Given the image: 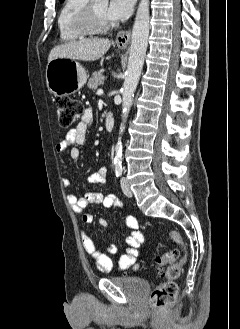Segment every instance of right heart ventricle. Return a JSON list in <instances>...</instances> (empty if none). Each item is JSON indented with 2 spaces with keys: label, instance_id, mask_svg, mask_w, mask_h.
Listing matches in <instances>:
<instances>
[{
  "label": "right heart ventricle",
  "instance_id": "right-heart-ventricle-1",
  "mask_svg": "<svg viewBox=\"0 0 240 329\" xmlns=\"http://www.w3.org/2000/svg\"><path fill=\"white\" fill-rule=\"evenodd\" d=\"M87 2L88 0H64L57 20L62 41L75 42L93 34L81 30L77 24Z\"/></svg>",
  "mask_w": 240,
  "mask_h": 329
}]
</instances>
